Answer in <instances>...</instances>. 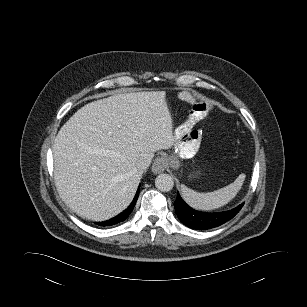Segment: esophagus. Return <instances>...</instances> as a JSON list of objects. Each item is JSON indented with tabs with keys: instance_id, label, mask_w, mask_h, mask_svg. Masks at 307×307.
Masks as SVG:
<instances>
[{
	"instance_id": "obj_1",
	"label": "esophagus",
	"mask_w": 307,
	"mask_h": 307,
	"mask_svg": "<svg viewBox=\"0 0 307 307\" xmlns=\"http://www.w3.org/2000/svg\"><path fill=\"white\" fill-rule=\"evenodd\" d=\"M167 166V159L164 156H158L152 165V172L155 174L162 173Z\"/></svg>"
}]
</instances>
